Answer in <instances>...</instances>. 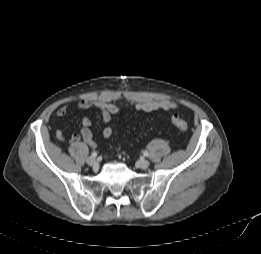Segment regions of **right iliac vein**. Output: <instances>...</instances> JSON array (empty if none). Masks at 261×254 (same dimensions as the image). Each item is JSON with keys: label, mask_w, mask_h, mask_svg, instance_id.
Listing matches in <instances>:
<instances>
[{"label": "right iliac vein", "mask_w": 261, "mask_h": 254, "mask_svg": "<svg viewBox=\"0 0 261 254\" xmlns=\"http://www.w3.org/2000/svg\"><path fill=\"white\" fill-rule=\"evenodd\" d=\"M86 162L88 165L92 166L93 168H97L98 167V163L96 161V159L92 156L88 157L86 159Z\"/></svg>", "instance_id": "right-iliac-vein-1"}]
</instances>
